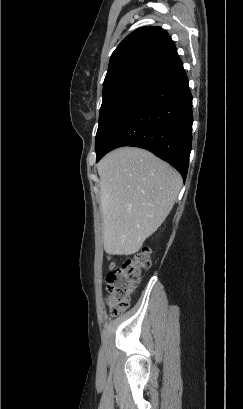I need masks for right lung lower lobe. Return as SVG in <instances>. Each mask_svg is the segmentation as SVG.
<instances>
[{
    "label": "right lung lower lobe",
    "instance_id": "98d812e1",
    "mask_svg": "<svg viewBox=\"0 0 243 409\" xmlns=\"http://www.w3.org/2000/svg\"><path fill=\"white\" fill-rule=\"evenodd\" d=\"M192 95L179 64L144 97L124 119L97 154L134 146L149 150L175 167L184 181L192 147Z\"/></svg>",
    "mask_w": 243,
    "mask_h": 409
}]
</instances>
